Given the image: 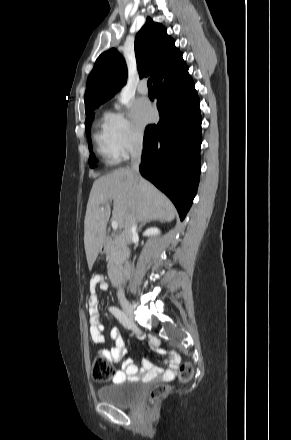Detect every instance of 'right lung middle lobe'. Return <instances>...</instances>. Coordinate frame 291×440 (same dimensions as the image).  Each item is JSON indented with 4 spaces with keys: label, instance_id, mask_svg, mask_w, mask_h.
Here are the masks:
<instances>
[{
    "label": "right lung middle lobe",
    "instance_id": "1",
    "mask_svg": "<svg viewBox=\"0 0 291 440\" xmlns=\"http://www.w3.org/2000/svg\"><path fill=\"white\" fill-rule=\"evenodd\" d=\"M95 108H96V107H95ZM95 108L89 110V111L86 113V120H85L86 135H87V139H88V147H89V151H90L89 165H90L91 167L94 166L95 157H94V154H93V152H92V144H91V140H90V128H91L90 125H91V122H92V120H93V118H94V112H93V110H94Z\"/></svg>",
    "mask_w": 291,
    "mask_h": 440
}]
</instances>
